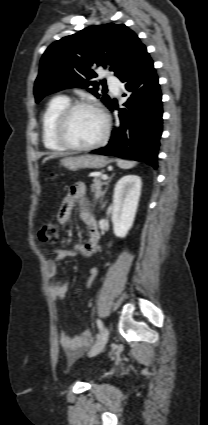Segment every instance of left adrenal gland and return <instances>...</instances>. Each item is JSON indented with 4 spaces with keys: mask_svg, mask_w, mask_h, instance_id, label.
Here are the masks:
<instances>
[{
    "mask_svg": "<svg viewBox=\"0 0 208 425\" xmlns=\"http://www.w3.org/2000/svg\"><path fill=\"white\" fill-rule=\"evenodd\" d=\"M110 180H111V178L109 179V181H108V182H110ZM106 190H107V188H106ZM106 190L104 191V193L106 192ZM104 193H103V195H104Z\"/></svg>",
    "mask_w": 208,
    "mask_h": 425,
    "instance_id": "a2214340",
    "label": "left adrenal gland"
}]
</instances>
